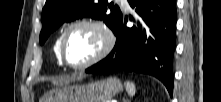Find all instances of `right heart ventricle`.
I'll return each instance as SVG.
<instances>
[{
	"label": "right heart ventricle",
	"instance_id": "1",
	"mask_svg": "<svg viewBox=\"0 0 221 102\" xmlns=\"http://www.w3.org/2000/svg\"><path fill=\"white\" fill-rule=\"evenodd\" d=\"M61 35L62 33H60L58 35V37L56 38L54 44H53V52H54V55H55V58H56V61L59 65H61V61H60V57H59V43H60V39H61Z\"/></svg>",
	"mask_w": 221,
	"mask_h": 102
}]
</instances>
